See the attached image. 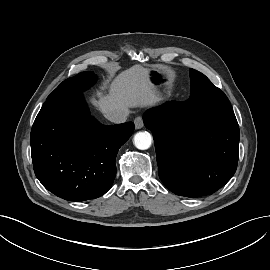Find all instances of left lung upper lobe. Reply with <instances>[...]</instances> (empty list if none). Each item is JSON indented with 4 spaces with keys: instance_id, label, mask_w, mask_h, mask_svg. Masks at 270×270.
<instances>
[{
    "instance_id": "1",
    "label": "left lung upper lobe",
    "mask_w": 270,
    "mask_h": 270,
    "mask_svg": "<svg viewBox=\"0 0 270 270\" xmlns=\"http://www.w3.org/2000/svg\"><path fill=\"white\" fill-rule=\"evenodd\" d=\"M190 90L198 95L204 110L215 108H232L227 96L201 72L190 69Z\"/></svg>"
}]
</instances>
